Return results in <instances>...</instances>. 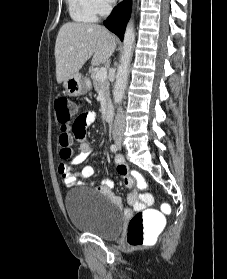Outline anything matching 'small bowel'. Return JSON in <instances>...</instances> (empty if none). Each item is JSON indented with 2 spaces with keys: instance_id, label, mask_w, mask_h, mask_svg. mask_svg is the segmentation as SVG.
Returning <instances> with one entry per match:
<instances>
[{
  "instance_id": "obj_1",
  "label": "small bowel",
  "mask_w": 227,
  "mask_h": 279,
  "mask_svg": "<svg viewBox=\"0 0 227 279\" xmlns=\"http://www.w3.org/2000/svg\"><path fill=\"white\" fill-rule=\"evenodd\" d=\"M84 126H89L95 121V113L89 111L85 114ZM73 137L79 143L80 151L77 155L73 156L70 161L63 160L57 166V172L61 177L62 182L67 187H72L81 184L82 182L89 181L94 174V168L90 165L85 166L80 172L73 170V165L83 163L92 153V148L87 142L85 132L73 133ZM118 162H122V158H117ZM134 171L125 168L121 171L124 177L125 185L131 188V193L128 195V203L133 206L135 210H140L151 204L152 195L149 193L139 194L137 188L133 185ZM113 182L106 178L99 185V190L104 193L112 203L117 206L123 207L121 198L112 191Z\"/></svg>"
}]
</instances>
